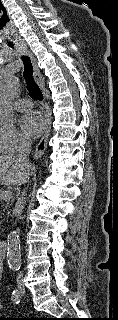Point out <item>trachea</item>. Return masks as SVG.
<instances>
[{
  "label": "trachea",
  "instance_id": "trachea-1",
  "mask_svg": "<svg viewBox=\"0 0 118 320\" xmlns=\"http://www.w3.org/2000/svg\"><path fill=\"white\" fill-rule=\"evenodd\" d=\"M10 47L13 48V46ZM21 58L24 64V78L29 94L34 99L42 100L43 94L33 78V65L31 60L28 56H22Z\"/></svg>",
  "mask_w": 118,
  "mask_h": 320
}]
</instances>
